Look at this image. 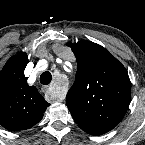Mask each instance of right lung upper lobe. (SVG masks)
Segmentation results:
<instances>
[{
	"label": "right lung upper lobe",
	"mask_w": 145,
	"mask_h": 145,
	"mask_svg": "<svg viewBox=\"0 0 145 145\" xmlns=\"http://www.w3.org/2000/svg\"><path fill=\"white\" fill-rule=\"evenodd\" d=\"M27 60V54L20 52L0 71V124L10 131L33 127L50 105L35 86L27 84Z\"/></svg>",
	"instance_id": "right-lung-upper-lobe-1"
}]
</instances>
